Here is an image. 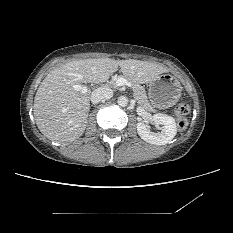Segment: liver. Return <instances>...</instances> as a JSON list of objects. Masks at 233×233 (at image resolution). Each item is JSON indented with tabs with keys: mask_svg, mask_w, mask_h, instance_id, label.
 I'll return each mask as SVG.
<instances>
[{
	"mask_svg": "<svg viewBox=\"0 0 233 233\" xmlns=\"http://www.w3.org/2000/svg\"><path fill=\"white\" fill-rule=\"evenodd\" d=\"M119 67L126 79L141 84L149 83L168 71L159 64L135 59L70 61L52 70L36 92L33 111L40 132L60 143L81 137L87 126L91 92L82 93L73 85L102 83Z\"/></svg>",
	"mask_w": 233,
	"mask_h": 233,
	"instance_id": "obj_1",
	"label": "liver"
}]
</instances>
